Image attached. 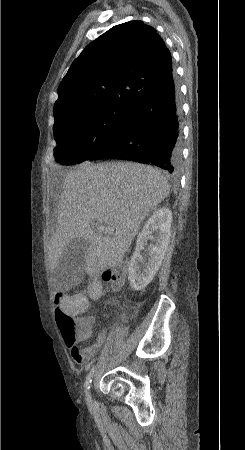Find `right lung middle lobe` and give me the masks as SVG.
Wrapping results in <instances>:
<instances>
[{
	"label": "right lung middle lobe",
	"instance_id": "right-lung-middle-lobe-1",
	"mask_svg": "<svg viewBox=\"0 0 245 450\" xmlns=\"http://www.w3.org/2000/svg\"><path fill=\"white\" fill-rule=\"evenodd\" d=\"M131 108L125 105H104L54 115L56 161L61 165L79 164L93 153L105 150L121 136Z\"/></svg>",
	"mask_w": 245,
	"mask_h": 450
}]
</instances>
